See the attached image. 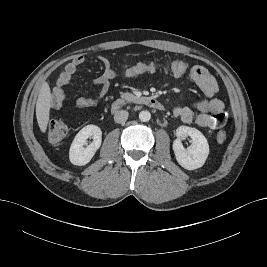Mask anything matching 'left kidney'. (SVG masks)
<instances>
[{"label": "left kidney", "mask_w": 267, "mask_h": 267, "mask_svg": "<svg viewBox=\"0 0 267 267\" xmlns=\"http://www.w3.org/2000/svg\"><path fill=\"white\" fill-rule=\"evenodd\" d=\"M177 139L173 142V150L177 162L187 170L202 167L209 154V145L205 136L197 129L180 126L176 130ZM191 137L192 144L186 149L181 139Z\"/></svg>", "instance_id": "1"}]
</instances>
